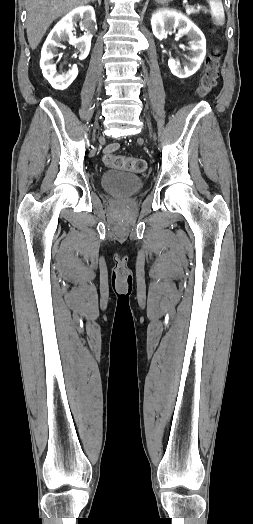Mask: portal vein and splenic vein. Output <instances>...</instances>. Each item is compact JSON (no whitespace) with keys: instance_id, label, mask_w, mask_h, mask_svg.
Wrapping results in <instances>:
<instances>
[{"instance_id":"portal-vein-and-splenic-vein-1","label":"portal vein and splenic vein","mask_w":253,"mask_h":524,"mask_svg":"<svg viewBox=\"0 0 253 524\" xmlns=\"http://www.w3.org/2000/svg\"><path fill=\"white\" fill-rule=\"evenodd\" d=\"M196 10L193 8V7H190L188 5H186V13L187 14H191L192 12H195Z\"/></svg>"}]
</instances>
